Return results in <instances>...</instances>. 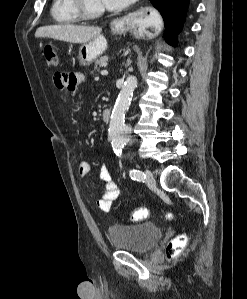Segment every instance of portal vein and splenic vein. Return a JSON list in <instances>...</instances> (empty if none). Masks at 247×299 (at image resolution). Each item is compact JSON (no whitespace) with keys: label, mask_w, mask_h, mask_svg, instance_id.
I'll return each instance as SVG.
<instances>
[{"label":"portal vein and splenic vein","mask_w":247,"mask_h":299,"mask_svg":"<svg viewBox=\"0 0 247 299\" xmlns=\"http://www.w3.org/2000/svg\"><path fill=\"white\" fill-rule=\"evenodd\" d=\"M108 72L106 70L101 71V75H107Z\"/></svg>","instance_id":"portal-vein-and-splenic-vein-1"}]
</instances>
